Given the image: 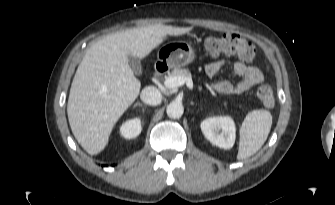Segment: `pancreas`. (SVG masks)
I'll return each instance as SVG.
<instances>
[{
  "mask_svg": "<svg viewBox=\"0 0 335 205\" xmlns=\"http://www.w3.org/2000/svg\"><path fill=\"white\" fill-rule=\"evenodd\" d=\"M174 76H182V77L192 78V75H191V73L188 69L174 68L172 73L168 77H174Z\"/></svg>",
  "mask_w": 335,
  "mask_h": 205,
  "instance_id": "pancreas-1",
  "label": "pancreas"
}]
</instances>
